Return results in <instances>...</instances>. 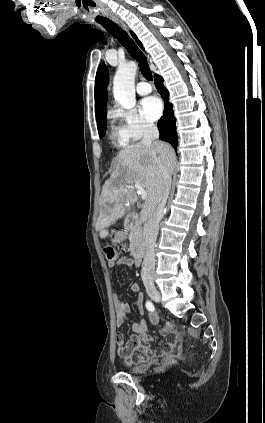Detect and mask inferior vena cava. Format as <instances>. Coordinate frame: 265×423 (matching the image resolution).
<instances>
[{"label": "inferior vena cava", "instance_id": "obj_1", "mask_svg": "<svg viewBox=\"0 0 265 423\" xmlns=\"http://www.w3.org/2000/svg\"><path fill=\"white\" fill-rule=\"evenodd\" d=\"M159 131L155 124L147 122L144 124L143 138L140 144L144 146H156L157 150L163 151V144L158 141ZM173 167L166 159L161 164L163 182L160 195L151 217L144 225L143 239L145 245V256L142 263V280L152 279L155 271V245L159 229V222L163 217V208L166 204L171 187V173Z\"/></svg>", "mask_w": 265, "mask_h": 423}]
</instances>
